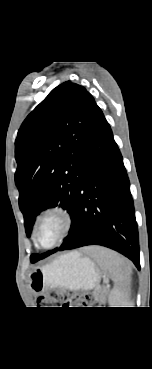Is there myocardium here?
<instances>
[{
	"mask_svg": "<svg viewBox=\"0 0 152 369\" xmlns=\"http://www.w3.org/2000/svg\"><path fill=\"white\" fill-rule=\"evenodd\" d=\"M49 216L59 217L62 223V227H61V232L58 238L51 245L44 246L40 243L38 234H39V229H40L42 222ZM72 223H73L72 215L66 208L62 206H58V205L47 207L39 214V216L36 219V223L34 227V234H33L36 245L39 248L45 249V250H49V249L56 247L59 243H61L68 236L71 230V227H72Z\"/></svg>",
	"mask_w": 152,
	"mask_h": 369,
	"instance_id": "f54148a6",
	"label": "myocardium"
}]
</instances>
